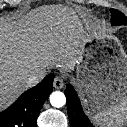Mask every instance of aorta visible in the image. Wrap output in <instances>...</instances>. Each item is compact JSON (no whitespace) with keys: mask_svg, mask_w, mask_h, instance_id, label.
Listing matches in <instances>:
<instances>
[{"mask_svg":"<svg viewBox=\"0 0 127 127\" xmlns=\"http://www.w3.org/2000/svg\"><path fill=\"white\" fill-rule=\"evenodd\" d=\"M50 103L56 108H61L66 103V97L64 93L60 91H55L50 95Z\"/></svg>","mask_w":127,"mask_h":127,"instance_id":"762f6f07","label":"aorta"}]
</instances>
